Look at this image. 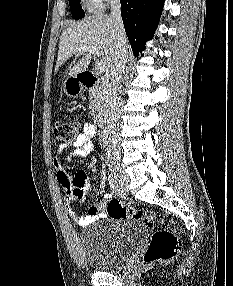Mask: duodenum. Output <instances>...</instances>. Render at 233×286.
I'll list each match as a JSON object with an SVG mask.
<instances>
[{
    "label": "duodenum",
    "instance_id": "1",
    "mask_svg": "<svg viewBox=\"0 0 233 286\" xmlns=\"http://www.w3.org/2000/svg\"><path fill=\"white\" fill-rule=\"evenodd\" d=\"M78 83L86 88L91 89L98 85V79L90 71H83L77 75ZM96 128L101 136H105L107 131V125L103 118H99L96 123Z\"/></svg>",
    "mask_w": 233,
    "mask_h": 286
}]
</instances>
